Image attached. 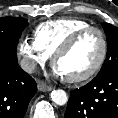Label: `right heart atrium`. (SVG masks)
<instances>
[{
	"instance_id": "d8ad5b80",
	"label": "right heart atrium",
	"mask_w": 118,
	"mask_h": 118,
	"mask_svg": "<svg viewBox=\"0 0 118 118\" xmlns=\"http://www.w3.org/2000/svg\"><path fill=\"white\" fill-rule=\"evenodd\" d=\"M17 55L22 67L28 72H33L38 65L44 64L49 59L36 41L30 38H22L19 41Z\"/></svg>"
}]
</instances>
